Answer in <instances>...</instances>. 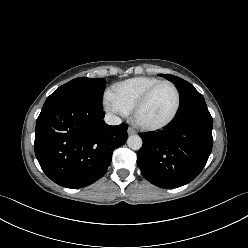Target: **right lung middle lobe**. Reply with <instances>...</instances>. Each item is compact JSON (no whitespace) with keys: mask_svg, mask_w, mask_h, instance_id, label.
Returning a JSON list of instances; mask_svg holds the SVG:
<instances>
[{"mask_svg":"<svg viewBox=\"0 0 248 248\" xmlns=\"http://www.w3.org/2000/svg\"><path fill=\"white\" fill-rule=\"evenodd\" d=\"M105 85L106 81L103 78L79 77L59 87L46 99L45 103L62 99H76L102 108V94Z\"/></svg>","mask_w":248,"mask_h":248,"instance_id":"1","label":"right lung middle lobe"}]
</instances>
